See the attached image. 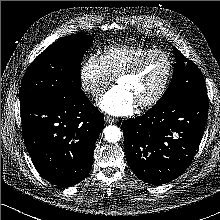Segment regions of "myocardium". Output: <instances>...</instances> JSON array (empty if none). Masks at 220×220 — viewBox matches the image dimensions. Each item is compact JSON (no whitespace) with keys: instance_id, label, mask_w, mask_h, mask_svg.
Masks as SVG:
<instances>
[{"instance_id":"myocardium-1","label":"myocardium","mask_w":220,"mask_h":220,"mask_svg":"<svg viewBox=\"0 0 220 220\" xmlns=\"http://www.w3.org/2000/svg\"><path fill=\"white\" fill-rule=\"evenodd\" d=\"M153 56H161L163 57L167 62V73L165 76V79L158 89V91L155 93V95L150 98L149 100L140 103L137 105L139 110H148L157 105L162 98L164 97L170 83L173 77L174 72V63L170 55L162 50H151L142 56H140L138 59H136L127 69L123 70L120 74L117 75L116 81H118L121 78H127V77H133L135 76L140 69L142 68L143 64L147 59Z\"/></svg>"}]
</instances>
